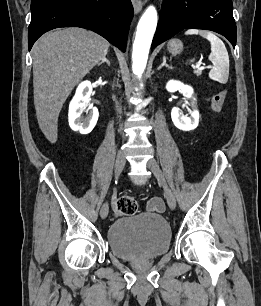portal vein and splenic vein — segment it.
<instances>
[{"mask_svg": "<svg viewBox=\"0 0 261 306\" xmlns=\"http://www.w3.org/2000/svg\"><path fill=\"white\" fill-rule=\"evenodd\" d=\"M207 67H209V66H205V65H203V66H201V65L194 66V68L197 69L198 71H202V70H204Z\"/></svg>", "mask_w": 261, "mask_h": 306, "instance_id": "1", "label": "portal vein and splenic vein"}]
</instances>
